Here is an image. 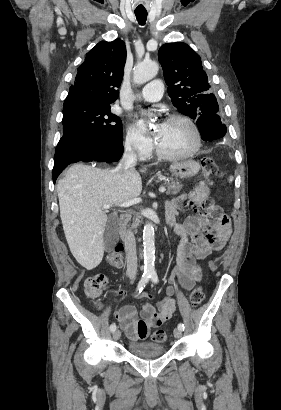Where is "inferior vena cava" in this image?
Listing matches in <instances>:
<instances>
[{"label": "inferior vena cava", "mask_w": 281, "mask_h": 410, "mask_svg": "<svg viewBox=\"0 0 281 410\" xmlns=\"http://www.w3.org/2000/svg\"><path fill=\"white\" fill-rule=\"evenodd\" d=\"M137 163V156L133 152L130 144L125 146V152L115 169L118 173L124 174L127 170L134 168ZM124 248L127 261V275L130 279H135L137 274V254L135 236L131 230H127L124 236Z\"/></svg>", "instance_id": "inferior-vena-cava-1"}]
</instances>
